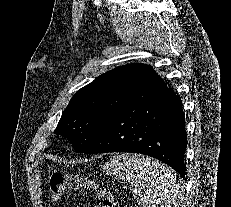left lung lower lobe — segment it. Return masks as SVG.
Here are the masks:
<instances>
[{"label":"left lung lower lobe","instance_id":"left-lung-lower-lobe-1","mask_svg":"<svg viewBox=\"0 0 231 207\" xmlns=\"http://www.w3.org/2000/svg\"><path fill=\"white\" fill-rule=\"evenodd\" d=\"M186 146L182 101L153 71L143 88L108 121L85 153L149 155L185 178Z\"/></svg>","mask_w":231,"mask_h":207}]
</instances>
